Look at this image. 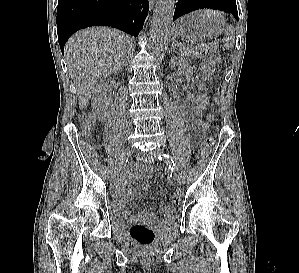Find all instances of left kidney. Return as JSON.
Listing matches in <instances>:
<instances>
[{"label": "left kidney", "instance_id": "5707ae66", "mask_svg": "<svg viewBox=\"0 0 299 273\" xmlns=\"http://www.w3.org/2000/svg\"><path fill=\"white\" fill-rule=\"evenodd\" d=\"M169 65L171 68H174L175 66L181 67L185 71L187 82H190V80L192 79L193 71L189 64L183 58L172 57ZM184 89H186V87H184Z\"/></svg>", "mask_w": 299, "mask_h": 273}]
</instances>
